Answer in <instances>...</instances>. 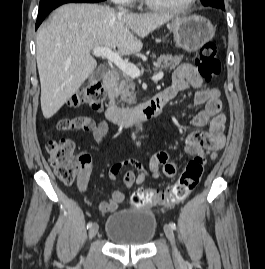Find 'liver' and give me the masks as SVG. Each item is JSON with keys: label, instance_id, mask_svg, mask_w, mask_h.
<instances>
[{"label": "liver", "instance_id": "6515ba94", "mask_svg": "<svg viewBox=\"0 0 265 269\" xmlns=\"http://www.w3.org/2000/svg\"><path fill=\"white\" fill-rule=\"evenodd\" d=\"M171 19L172 15L117 13L97 4L56 9L36 37L43 116L57 113L94 72L97 62L91 50L107 47L118 48L122 55L138 53L141 38Z\"/></svg>", "mask_w": 265, "mask_h": 269}]
</instances>
